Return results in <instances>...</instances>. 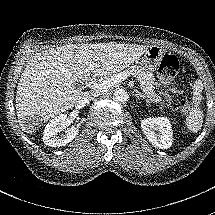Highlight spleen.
<instances>
[{
    "instance_id": "spleen-1",
    "label": "spleen",
    "mask_w": 215,
    "mask_h": 215,
    "mask_svg": "<svg viewBox=\"0 0 215 215\" xmlns=\"http://www.w3.org/2000/svg\"><path fill=\"white\" fill-rule=\"evenodd\" d=\"M203 97L201 85L195 82L192 87V108L185 119V127L189 133H198L202 128L204 121Z\"/></svg>"
}]
</instances>
